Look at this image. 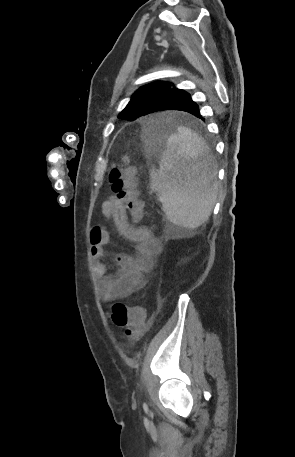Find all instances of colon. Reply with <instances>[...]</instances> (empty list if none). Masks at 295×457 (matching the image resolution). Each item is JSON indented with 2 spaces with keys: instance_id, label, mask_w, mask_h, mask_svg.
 <instances>
[{
  "instance_id": "colon-1",
  "label": "colon",
  "mask_w": 295,
  "mask_h": 457,
  "mask_svg": "<svg viewBox=\"0 0 295 457\" xmlns=\"http://www.w3.org/2000/svg\"><path fill=\"white\" fill-rule=\"evenodd\" d=\"M111 190L123 208L128 211L135 221L143 216L142 202L139 200L135 188V170L124 160L122 166H114L109 174ZM111 318L113 323L123 328L128 339L137 338L146 324V314L140 307H130L123 303L112 306Z\"/></svg>"
}]
</instances>
